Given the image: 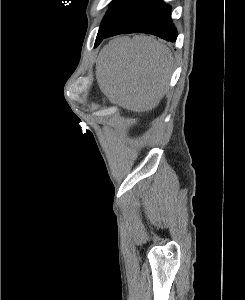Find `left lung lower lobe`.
<instances>
[{
	"label": "left lung lower lobe",
	"mask_w": 245,
	"mask_h": 300,
	"mask_svg": "<svg viewBox=\"0 0 245 300\" xmlns=\"http://www.w3.org/2000/svg\"><path fill=\"white\" fill-rule=\"evenodd\" d=\"M126 33H148L170 42L176 41L171 7L163 0H144L125 13L107 32L98 33L95 47L105 38Z\"/></svg>",
	"instance_id": "obj_1"
}]
</instances>
